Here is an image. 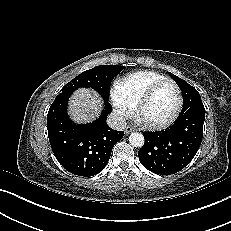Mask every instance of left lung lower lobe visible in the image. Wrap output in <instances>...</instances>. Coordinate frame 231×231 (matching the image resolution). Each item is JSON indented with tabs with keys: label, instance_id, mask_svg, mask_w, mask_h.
<instances>
[{
	"label": "left lung lower lobe",
	"instance_id": "0a47b994",
	"mask_svg": "<svg viewBox=\"0 0 231 231\" xmlns=\"http://www.w3.org/2000/svg\"><path fill=\"white\" fill-rule=\"evenodd\" d=\"M204 120V106H196L179 115L174 130L144 132L145 143L138 152L142 165L158 175L186 167L201 145Z\"/></svg>",
	"mask_w": 231,
	"mask_h": 231
}]
</instances>
